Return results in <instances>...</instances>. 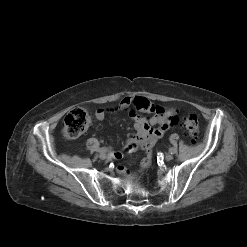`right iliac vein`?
<instances>
[{"label":"right iliac vein","mask_w":247,"mask_h":247,"mask_svg":"<svg viewBox=\"0 0 247 247\" xmlns=\"http://www.w3.org/2000/svg\"><path fill=\"white\" fill-rule=\"evenodd\" d=\"M99 157H100L102 160H105V159H107V154L104 153V152H101V153L99 154Z\"/></svg>","instance_id":"1"}]
</instances>
